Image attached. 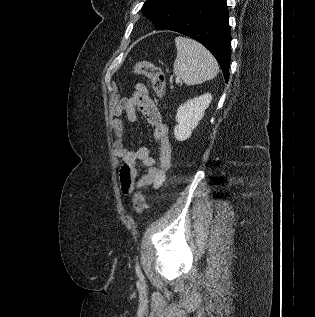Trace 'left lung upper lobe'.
<instances>
[{
	"mask_svg": "<svg viewBox=\"0 0 315 317\" xmlns=\"http://www.w3.org/2000/svg\"><path fill=\"white\" fill-rule=\"evenodd\" d=\"M198 0H147L143 14L156 22V29H168L174 25Z\"/></svg>",
	"mask_w": 315,
	"mask_h": 317,
	"instance_id": "1",
	"label": "left lung upper lobe"
}]
</instances>
